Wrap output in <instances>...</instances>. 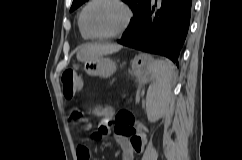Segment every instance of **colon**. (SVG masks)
Instances as JSON below:
<instances>
[{
	"mask_svg": "<svg viewBox=\"0 0 242 160\" xmlns=\"http://www.w3.org/2000/svg\"><path fill=\"white\" fill-rule=\"evenodd\" d=\"M61 81L63 86V94L65 97L71 98L81 88L82 83L77 76L74 69H65L61 75ZM116 131L120 133H132L136 129V120L131 111L122 110L116 115ZM100 133H96L94 137L99 136Z\"/></svg>",
	"mask_w": 242,
	"mask_h": 160,
	"instance_id": "5ec220e1",
	"label": "colon"
}]
</instances>
